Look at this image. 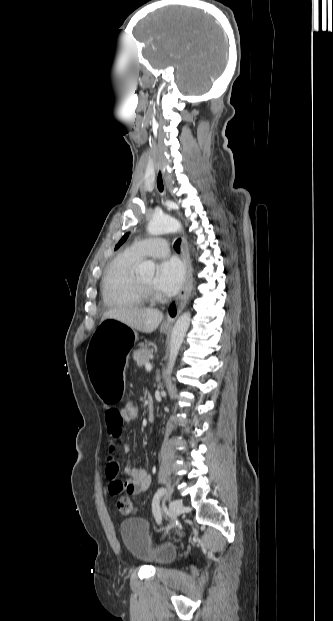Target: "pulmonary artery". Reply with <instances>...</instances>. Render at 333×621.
<instances>
[{
	"mask_svg": "<svg viewBox=\"0 0 333 621\" xmlns=\"http://www.w3.org/2000/svg\"><path fill=\"white\" fill-rule=\"evenodd\" d=\"M169 248L164 239L148 238L133 243L128 252L135 257L142 259L144 257H163L168 254Z\"/></svg>",
	"mask_w": 333,
	"mask_h": 621,
	"instance_id": "1",
	"label": "pulmonary artery"
}]
</instances>
